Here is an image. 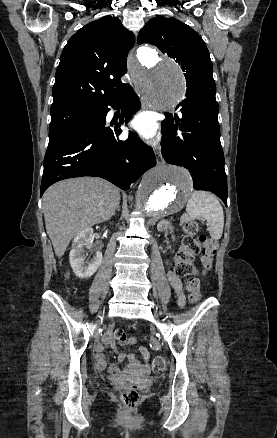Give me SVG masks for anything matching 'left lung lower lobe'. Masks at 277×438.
<instances>
[{
  "label": "left lung lower lobe",
  "instance_id": "obj_1",
  "mask_svg": "<svg viewBox=\"0 0 277 438\" xmlns=\"http://www.w3.org/2000/svg\"><path fill=\"white\" fill-rule=\"evenodd\" d=\"M179 105H182L181 119L167 115L162 122L164 159L167 163L187 168L194 189L211 191L227 205V179L216 98H187Z\"/></svg>",
  "mask_w": 277,
  "mask_h": 438
}]
</instances>
